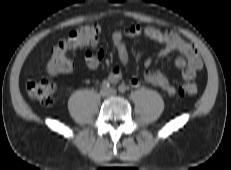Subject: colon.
I'll use <instances>...</instances> for the list:
<instances>
[{
    "instance_id": "colon-1",
    "label": "colon",
    "mask_w": 231,
    "mask_h": 170,
    "mask_svg": "<svg viewBox=\"0 0 231 170\" xmlns=\"http://www.w3.org/2000/svg\"><path fill=\"white\" fill-rule=\"evenodd\" d=\"M100 27L89 24L77 28L69 33L67 38L59 42L52 50L51 58L47 65L50 75L67 73L72 69L69 54L82 46L88 45L98 39ZM27 93L30 98L39 101L44 106H51L54 102L56 84L53 79L46 77L27 84ZM197 84L193 80H185L178 87L181 97H190L197 93Z\"/></svg>"
}]
</instances>
